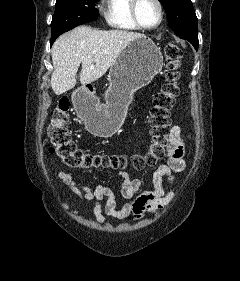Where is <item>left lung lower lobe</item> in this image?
<instances>
[{"label":"left lung lower lobe","mask_w":240,"mask_h":281,"mask_svg":"<svg viewBox=\"0 0 240 281\" xmlns=\"http://www.w3.org/2000/svg\"><path fill=\"white\" fill-rule=\"evenodd\" d=\"M198 45H199V43L196 44V47H195L196 49L198 48Z\"/></svg>","instance_id":"obj_1"}]
</instances>
